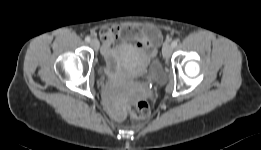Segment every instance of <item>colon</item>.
Masks as SVG:
<instances>
[{
    "instance_id": "colon-1",
    "label": "colon",
    "mask_w": 261,
    "mask_h": 150,
    "mask_svg": "<svg viewBox=\"0 0 261 150\" xmlns=\"http://www.w3.org/2000/svg\"><path fill=\"white\" fill-rule=\"evenodd\" d=\"M128 111L131 117L136 119L147 118L150 114L149 104L142 99L132 100L129 103Z\"/></svg>"
}]
</instances>
